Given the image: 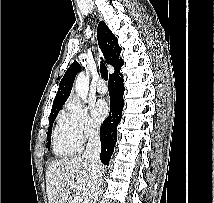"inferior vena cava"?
<instances>
[{
    "instance_id": "obj_1",
    "label": "inferior vena cava",
    "mask_w": 214,
    "mask_h": 203,
    "mask_svg": "<svg viewBox=\"0 0 214 203\" xmlns=\"http://www.w3.org/2000/svg\"><path fill=\"white\" fill-rule=\"evenodd\" d=\"M101 143L99 128L92 127L89 130V138L86 150L82 158L90 164V185L85 194L83 203H96L102 184L103 166L100 161Z\"/></svg>"
}]
</instances>
